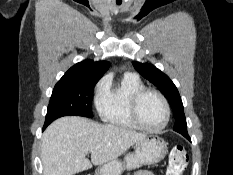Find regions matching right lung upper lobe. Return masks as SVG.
Returning a JSON list of instances; mask_svg holds the SVG:
<instances>
[{
  "instance_id": "right-lung-upper-lobe-1",
  "label": "right lung upper lobe",
  "mask_w": 233,
  "mask_h": 175,
  "mask_svg": "<svg viewBox=\"0 0 233 175\" xmlns=\"http://www.w3.org/2000/svg\"><path fill=\"white\" fill-rule=\"evenodd\" d=\"M110 63L107 61L94 62L84 60L72 66L59 82H72L90 79H100L108 70Z\"/></svg>"
}]
</instances>
